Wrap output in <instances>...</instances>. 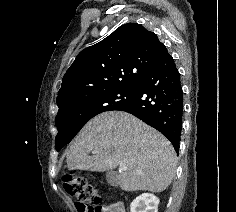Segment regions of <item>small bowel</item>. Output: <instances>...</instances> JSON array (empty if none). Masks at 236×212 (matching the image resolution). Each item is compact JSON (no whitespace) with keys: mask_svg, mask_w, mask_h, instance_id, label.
<instances>
[{"mask_svg":"<svg viewBox=\"0 0 236 212\" xmlns=\"http://www.w3.org/2000/svg\"><path fill=\"white\" fill-rule=\"evenodd\" d=\"M104 212H125L124 205L121 202L112 203L108 206H103ZM79 212H81L79 210Z\"/></svg>","mask_w":236,"mask_h":212,"instance_id":"small-bowel-1","label":"small bowel"}]
</instances>
